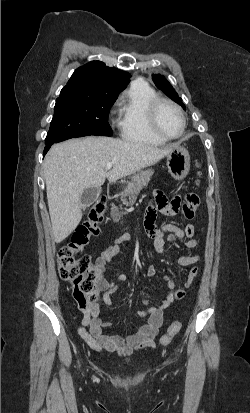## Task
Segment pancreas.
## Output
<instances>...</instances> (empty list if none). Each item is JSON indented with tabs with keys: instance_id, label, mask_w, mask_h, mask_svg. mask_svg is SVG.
Segmentation results:
<instances>
[{
	"instance_id": "cf45deb5",
	"label": "pancreas",
	"mask_w": 250,
	"mask_h": 413,
	"mask_svg": "<svg viewBox=\"0 0 250 413\" xmlns=\"http://www.w3.org/2000/svg\"><path fill=\"white\" fill-rule=\"evenodd\" d=\"M153 175L152 170L139 171L131 177V182L128 184L126 189V194L121 195V201L124 205L129 206L136 201V196L140 193L143 187L147 186L150 181L151 176ZM128 197V200L126 199ZM123 212L120 209L112 204L111 206V216L114 221H118L122 216Z\"/></svg>"
}]
</instances>
